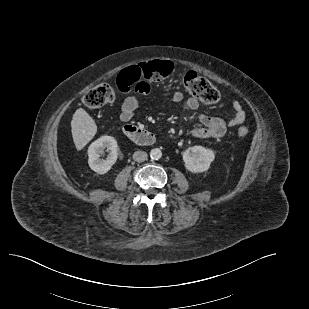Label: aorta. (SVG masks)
I'll list each match as a JSON object with an SVG mask.
<instances>
[{
	"label": "aorta",
	"mask_w": 309,
	"mask_h": 309,
	"mask_svg": "<svg viewBox=\"0 0 309 309\" xmlns=\"http://www.w3.org/2000/svg\"><path fill=\"white\" fill-rule=\"evenodd\" d=\"M150 157L153 160H158L162 157V151L159 148H153L150 151Z\"/></svg>",
	"instance_id": "aorta-1"
}]
</instances>
